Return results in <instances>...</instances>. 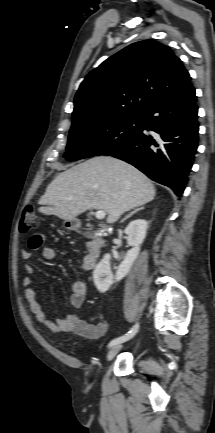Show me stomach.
<instances>
[{
	"instance_id": "obj_1",
	"label": "stomach",
	"mask_w": 215,
	"mask_h": 433,
	"mask_svg": "<svg viewBox=\"0 0 215 433\" xmlns=\"http://www.w3.org/2000/svg\"><path fill=\"white\" fill-rule=\"evenodd\" d=\"M67 226H70V224H69V223H67Z\"/></svg>"
}]
</instances>
